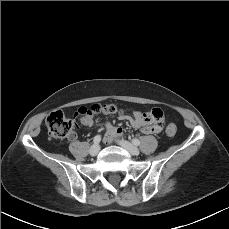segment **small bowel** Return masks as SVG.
Returning <instances> with one entry per match:
<instances>
[{"label": "small bowel", "instance_id": "1", "mask_svg": "<svg viewBox=\"0 0 229 229\" xmlns=\"http://www.w3.org/2000/svg\"><path fill=\"white\" fill-rule=\"evenodd\" d=\"M145 113L141 111H135L132 115H126V114H119L118 118L122 121H127L131 126L134 128H141L143 133L150 134L154 131L149 128L145 127ZM80 121L83 125L86 126H93L94 125V118L92 115H85L80 118ZM105 139L108 142H112L118 138H121L123 135V129L119 126H115L109 122L105 123ZM71 138L75 137V134H71Z\"/></svg>", "mask_w": 229, "mask_h": 229}]
</instances>
